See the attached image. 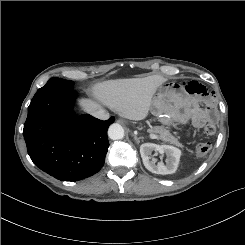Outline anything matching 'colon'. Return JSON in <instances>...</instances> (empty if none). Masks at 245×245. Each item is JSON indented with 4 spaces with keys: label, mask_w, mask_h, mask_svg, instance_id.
Masks as SVG:
<instances>
[{
    "label": "colon",
    "mask_w": 245,
    "mask_h": 245,
    "mask_svg": "<svg viewBox=\"0 0 245 245\" xmlns=\"http://www.w3.org/2000/svg\"><path fill=\"white\" fill-rule=\"evenodd\" d=\"M204 132L206 135H213L216 132V127L213 123H207L204 127ZM210 150L209 143H200L196 146L195 154L197 157H204Z\"/></svg>",
    "instance_id": "obj_1"
}]
</instances>
